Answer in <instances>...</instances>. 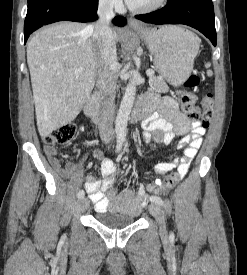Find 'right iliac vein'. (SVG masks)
<instances>
[{"instance_id":"obj_1","label":"right iliac vein","mask_w":247,"mask_h":275,"mask_svg":"<svg viewBox=\"0 0 247 275\" xmlns=\"http://www.w3.org/2000/svg\"><path fill=\"white\" fill-rule=\"evenodd\" d=\"M89 206V201L86 198H82L78 201V210L85 211Z\"/></svg>"}]
</instances>
